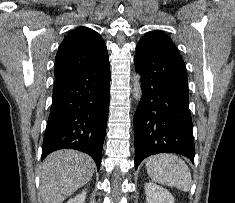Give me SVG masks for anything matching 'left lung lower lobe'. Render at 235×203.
I'll return each instance as SVG.
<instances>
[{"instance_id": "0a47b994", "label": "left lung lower lobe", "mask_w": 235, "mask_h": 203, "mask_svg": "<svg viewBox=\"0 0 235 203\" xmlns=\"http://www.w3.org/2000/svg\"><path fill=\"white\" fill-rule=\"evenodd\" d=\"M143 97L134 116L135 169L158 153L194 162L187 70L181 55L159 42L139 41L134 57Z\"/></svg>"}]
</instances>
